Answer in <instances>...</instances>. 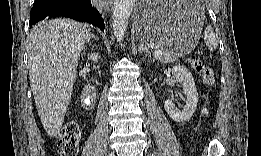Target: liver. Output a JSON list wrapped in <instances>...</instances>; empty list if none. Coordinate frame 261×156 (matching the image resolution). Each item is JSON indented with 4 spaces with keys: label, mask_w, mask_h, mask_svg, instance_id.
<instances>
[{
    "label": "liver",
    "mask_w": 261,
    "mask_h": 156,
    "mask_svg": "<svg viewBox=\"0 0 261 156\" xmlns=\"http://www.w3.org/2000/svg\"><path fill=\"white\" fill-rule=\"evenodd\" d=\"M92 36L88 24L71 19L44 20L29 35V79L47 134L56 137L71 99L80 54Z\"/></svg>",
    "instance_id": "liver-1"
}]
</instances>
